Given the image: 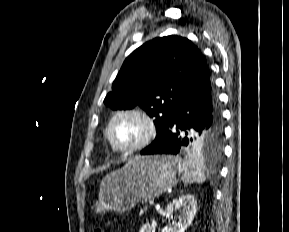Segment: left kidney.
Masks as SVG:
<instances>
[{
	"instance_id": "obj_1",
	"label": "left kidney",
	"mask_w": 289,
	"mask_h": 232,
	"mask_svg": "<svg viewBox=\"0 0 289 232\" xmlns=\"http://www.w3.org/2000/svg\"><path fill=\"white\" fill-rule=\"evenodd\" d=\"M168 215L179 212L178 220L172 222V225L165 232H185L194 219L197 211V201L193 195H182L178 199L169 203L166 208ZM140 232H154L153 227L146 223L142 226Z\"/></svg>"
}]
</instances>
